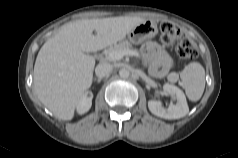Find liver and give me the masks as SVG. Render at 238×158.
Returning <instances> with one entry per match:
<instances>
[{
	"label": "liver",
	"instance_id": "obj_1",
	"mask_svg": "<svg viewBox=\"0 0 238 158\" xmlns=\"http://www.w3.org/2000/svg\"><path fill=\"white\" fill-rule=\"evenodd\" d=\"M143 21L121 16L64 24L44 43L35 61L33 83L40 102L59 119L71 120L92 84L95 59L88 53L124 39Z\"/></svg>",
	"mask_w": 238,
	"mask_h": 158
}]
</instances>
